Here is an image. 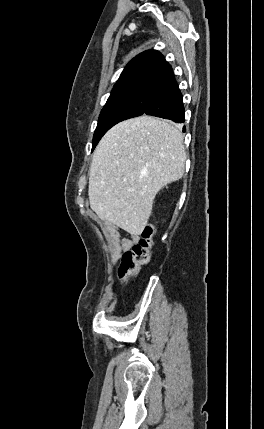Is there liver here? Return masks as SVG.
Segmentation results:
<instances>
[{
    "label": "liver",
    "instance_id": "6515ba94",
    "mask_svg": "<svg viewBox=\"0 0 264 429\" xmlns=\"http://www.w3.org/2000/svg\"><path fill=\"white\" fill-rule=\"evenodd\" d=\"M186 153L180 128L143 115L118 123L93 155L88 195L97 216L133 236L144 230L156 194L182 178Z\"/></svg>",
    "mask_w": 264,
    "mask_h": 429
}]
</instances>
